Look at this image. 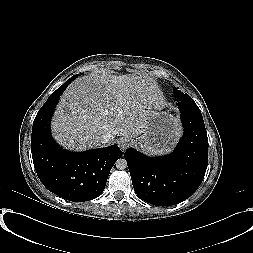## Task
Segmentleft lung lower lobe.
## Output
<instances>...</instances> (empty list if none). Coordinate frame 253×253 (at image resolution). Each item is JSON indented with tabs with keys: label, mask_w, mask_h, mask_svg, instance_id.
<instances>
[{
	"label": "left lung lower lobe",
	"mask_w": 253,
	"mask_h": 253,
	"mask_svg": "<svg viewBox=\"0 0 253 253\" xmlns=\"http://www.w3.org/2000/svg\"><path fill=\"white\" fill-rule=\"evenodd\" d=\"M178 106L184 135L172 153L148 157L129 148L124 154L136 194L153 205L186 200L198 189L207 169L208 138L200 109L182 100Z\"/></svg>",
	"instance_id": "left-lung-lower-lobe-1"
}]
</instances>
